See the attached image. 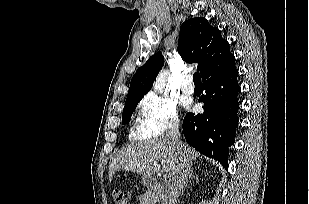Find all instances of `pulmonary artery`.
Segmentation results:
<instances>
[{
	"instance_id": "obj_1",
	"label": "pulmonary artery",
	"mask_w": 309,
	"mask_h": 204,
	"mask_svg": "<svg viewBox=\"0 0 309 204\" xmlns=\"http://www.w3.org/2000/svg\"><path fill=\"white\" fill-rule=\"evenodd\" d=\"M181 90L183 93L185 94H193L194 93V86L191 82V78L190 77H185V79L183 80L182 82V85H181Z\"/></svg>"
}]
</instances>
